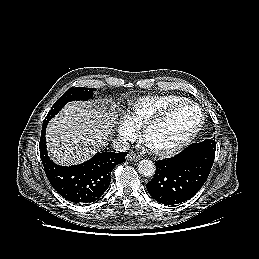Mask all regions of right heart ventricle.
Masks as SVG:
<instances>
[{
	"label": "right heart ventricle",
	"mask_w": 259,
	"mask_h": 259,
	"mask_svg": "<svg viewBox=\"0 0 259 259\" xmlns=\"http://www.w3.org/2000/svg\"><path fill=\"white\" fill-rule=\"evenodd\" d=\"M186 100L177 95L140 97L130 103L126 117L136 128H139L168 107Z\"/></svg>",
	"instance_id": "obj_1"
}]
</instances>
